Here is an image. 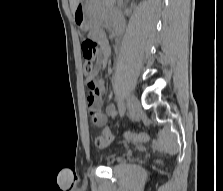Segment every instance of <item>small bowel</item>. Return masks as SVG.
I'll return each mask as SVG.
<instances>
[{
  "mask_svg": "<svg viewBox=\"0 0 223 191\" xmlns=\"http://www.w3.org/2000/svg\"><path fill=\"white\" fill-rule=\"evenodd\" d=\"M122 30H123V23L118 20L115 25V32L121 33ZM93 35L94 37L97 38L101 46V51L96 60V70L104 69L106 67L107 58L110 53L109 46L105 39V35L101 29L99 28L95 29ZM93 82L96 85V87L95 89H91L88 86L89 91L87 96V105L93 123L100 126L103 125L108 118L115 117L116 111L114 106L112 105L107 106L105 109L103 108V102L101 96L105 90L104 81L101 79L100 80L93 79Z\"/></svg>",
  "mask_w": 223,
  "mask_h": 191,
  "instance_id": "obj_1",
  "label": "small bowel"
}]
</instances>
